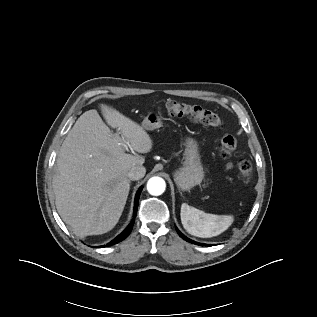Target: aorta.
<instances>
[{
	"label": "aorta",
	"instance_id": "obj_1",
	"mask_svg": "<svg viewBox=\"0 0 317 317\" xmlns=\"http://www.w3.org/2000/svg\"><path fill=\"white\" fill-rule=\"evenodd\" d=\"M166 183L164 179L160 177H152L147 182V191L154 196H159L164 193Z\"/></svg>",
	"mask_w": 317,
	"mask_h": 317
}]
</instances>
